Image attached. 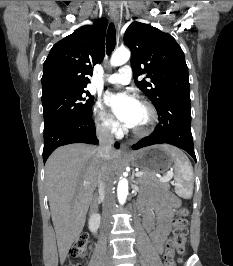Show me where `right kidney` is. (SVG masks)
<instances>
[{
  "instance_id": "1",
  "label": "right kidney",
  "mask_w": 233,
  "mask_h": 266,
  "mask_svg": "<svg viewBox=\"0 0 233 266\" xmlns=\"http://www.w3.org/2000/svg\"><path fill=\"white\" fill-rule=\"evenodd\" d=\"M101 217L99 214L91 215L89 219V229L91 232H96L100 226Z\"/></svg>"
}]
</instances>
